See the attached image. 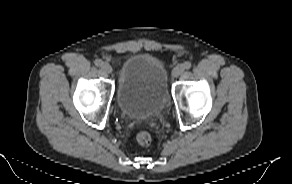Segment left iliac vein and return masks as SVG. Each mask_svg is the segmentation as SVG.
<instances>
[{
  "label": "left iliac vein",
  "instance_id": "1",
  "mask_svg": "<svg viewBox=\"0 0 292 184\" xmlns=\"http://www.w3.org/2000/svg\"><path fill=\"white\" fill-rule=\"evenodd\" d=\"M184 71L183 65L176 66L172 71V77L176 78L181 75Z\"/></svg>",
  "mask_w": 292,
  "mask_h": 184
}]
</instances>
